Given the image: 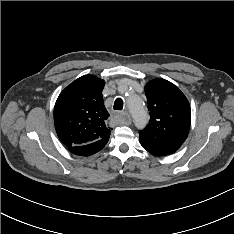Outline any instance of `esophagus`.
Wrapping results in <instances>:
<instances>
[{
    "mask_svg": "<svg viewBox=\"0 0 234 234\" xmlns=\"http://www.w3.org/2000/svg\"><path fill=\"white\" fill-rule=\"evenodd\" d=\"M120 116L122 118V120L126 123V124H130L131 123V117L127 112H122L120 113Z\"/></svg>",
    "mask_w": 234,
    "mask_h": 234,
    "instance_id": "obj_1",
    "label": "esophagus"
}]
</instances>
